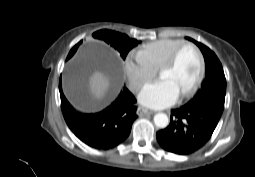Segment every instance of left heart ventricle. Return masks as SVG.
Returning a JSON list of instances; mask_svg holds the SVG:
<instances>
[{
  "label": "left heart ventricle",
  "instance_id": "obj_1",
  "mask_svg": "<svg viewBox=\"0 0 255 177\" xmlns=\"http://www.w3.org/2000/svg\"><path fill=\"white\" fill-rule=\"evenodd\" d=\"M199 69V58L191 47L184 48L176 62L169 70L160 73L161 78L169 80L182 94L195 81Z\"/></svg>",
  "mask_w": 255,
  "mask_h": 177
}]
</instances>
